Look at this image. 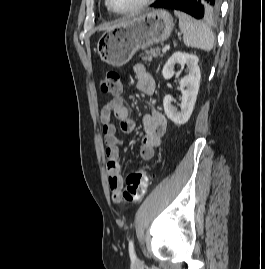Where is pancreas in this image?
Returning a JSON list of instances; mask_svg holds the SVG:
<instances>
[{"instance_id":"1","label":"pancreas","mask_w":265,"mask_h":269,"mask_svg":"<svg viewBox=\"0 0 265 269\" xmlns=\"http://www.w3.org/2000/svg\"><path fill=\"white\" fill-rule=\"evenodd\" d=\"M153 57H163V54H161L160 49H150L146 50L144 55L142 56V59L144 61H151Z\"/></svg>"}]
</instances>
